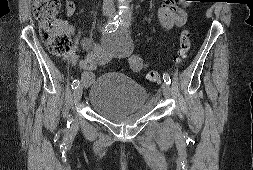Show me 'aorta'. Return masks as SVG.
Returning <instances> with one entry per match:
<instances>
[{"label": "aorta", "instance_id": "obj_1", "mask_svg": "<svg viewBox=\"0 0 253 170\" xmlns=\"http://www.w3.org/2000/svg\"><path fill=\"white\" fill-rule=\"evenodd\" d=\"M128 14H129V11H128V10H121V11H120V16H121V17H126Z\"/></svg>", "mask_w": 253, "mask_h": 170}]
</instances>
